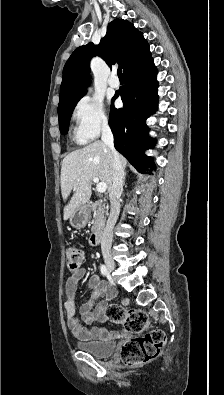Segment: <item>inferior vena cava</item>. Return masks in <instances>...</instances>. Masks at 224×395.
<instances>
[{
	"instance_id": "1",
	"label": "inferior vena cava",
	"mask_w": 224,
	"mask_h": 395,
	"mask_svg": "<svg viewBox=\"0 0 224 395\" xmlns=\"http://www.w3.org/2000/svg\"><path fill=\"white\" fill-rule=\"evenodd\" d=\"M102 141L107 145L112 153V173L113 180L109 190L110 199V214L106 223V226L102 233L101 250L103 254L110 253L112 240H113V228L117 221L120 212V197L123 191V180H124V168L120 161L119 154L114 148V138L112 131L108 123H104L102 126Z\"/></svg>"
}]
</instances>
